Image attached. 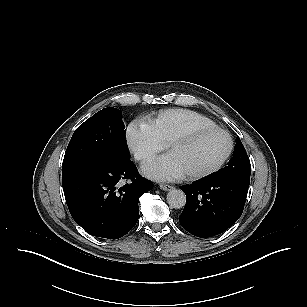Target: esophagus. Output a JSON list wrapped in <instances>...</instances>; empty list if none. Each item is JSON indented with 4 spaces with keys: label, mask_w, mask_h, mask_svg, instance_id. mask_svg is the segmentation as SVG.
Wrapping results in <instances>:
<instances>
[{
    "label": "esophagus",
    "mask_w": 307,
    "mask_h": 307,
    "mask_svg": "<svg viewBox=\"0 0 307 307\" xmlns=\"http://www.w3.org/2000/svg\"><path fill=\"white\" fill-rule=\"evenodd\" d=\"M159 186L164 191H168V190H170L172 188V186L166 185V184H160Z\"/></svg>",
    "instance_id": "esophagus-1"
}]
</instances>
